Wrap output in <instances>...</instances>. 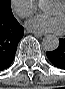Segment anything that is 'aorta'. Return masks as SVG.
<instances>
[{
  "mask_svg": "<svg viewBox=\"0 0 65 89\" xmlns=\"http://www.w3.org/2000/svg\"><path fill=\"white\" fill-rule=\"evenodd\" d=\"M42 7V5H40ZM42 45L45 51H54L59 46V39L53 34H47L42 41Z\"/></svg>",
  "mask_w": 65,
  "mask_h": 89,
  "instance_id": "aorta-1",
  "label": "aorta"
}]
</instances>
